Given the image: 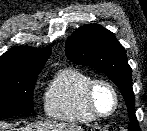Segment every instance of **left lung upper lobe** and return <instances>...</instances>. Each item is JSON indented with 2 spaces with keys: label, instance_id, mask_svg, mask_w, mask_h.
Here are the masks:
<instances>
[{
  "label": "left lung upper lobe",
  "instance_id": "obj_1",
  "mask_svg": "<svg viewBox=\"0 0 147 131\" xmlns=\"http://www.w3.org/2000/svg\"><path fill=\"white\" fill-rule=\"evenodd\" d=\"M65 51L72 62L99 70L120 88L128 107V129L140 131L134 111L132 69L124 47L113 33L99 24L85 25L77 29L66 41Z\"/></svg>",
  "mask_w": 147,
  "mask_h": 131
}]
</instances>
